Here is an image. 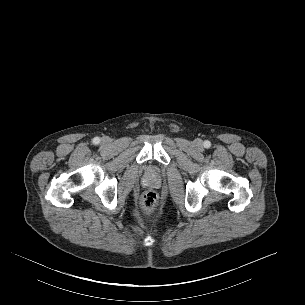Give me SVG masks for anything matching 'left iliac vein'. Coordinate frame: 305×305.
Returning <instances> with one entry per match:
<instances>
[{
  "instance_id": "1",
  "label": "left iliac vein",
  "mask_w": 305,
  "mask_h": 305,
  "mask_svg": "<svg viewBox=\"0 0 305 305\" xmlns=\"http://www.w3.org/2000/svg\"><path fill=\"white\" fill-rule=\"evenodd\" d=\"M196 146H198V147L201 146V141H200V140H197V141H196Z\"/></svg>"
}]
</instances>
